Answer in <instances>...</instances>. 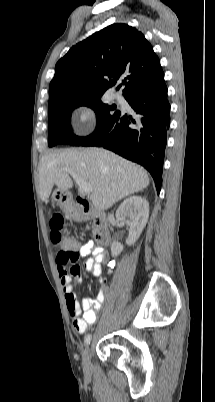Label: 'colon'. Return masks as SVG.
<instances>
[{
  "label": "colon",
  "instance_id": "obj_1",
  "mask_svg": "<svg viewBox=\"0 0 215 402\" xmlns=\"http://www.w3.org/2000/svg\"><path fill=\"white\" fill-rule=\"evenodd\" d=\"M63 225V219L60 215H55L50 220L51 227V240L54 244L60 245L63 251H60L57 255V260L69 264V270H75L76 262L78 260V250L80 244L77 238H73L71 235H64L62 237L61 228Z\"/></svg>",
  "mask_w": 215,
  "mask_h": 402
}]
</instances>
